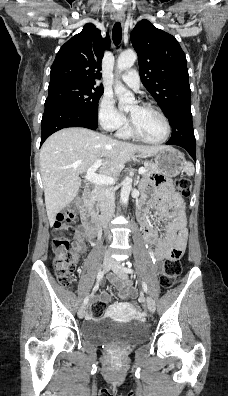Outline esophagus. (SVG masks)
I'll return each instance as SVG.
<instances>
[{
  "label": "esophagus",
  "mask_w": 228,
  "mask_h": 396,
  "mask_svg": "<svg viewBox=\"0 0 228 396\" xmlns=\"http://www.w3.org/2000/svg\"><path fill=\"white\" fill-rule=\"evenodd\" d=\"M124 19H125V15H124V13H123L122 11H118V12L115 14V20H116V21H118V22H124Z\"/></svg>",
  "instance_id": "esophagus-1"
}]
</instances>
